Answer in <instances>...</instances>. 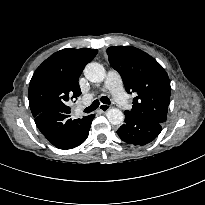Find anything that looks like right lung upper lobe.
Listing matches in <instances>:
<instances>
[{
	"mask_svg": "<svg viewBox=\"0 0 205 205\" xmlns=\"http://www.w3.org/2000/svg\"><path fill=\"white\" fill-rule=\"evenodd\" d=\"M97 50L62 49L47 58L33 74L29 85V105L34 117L44 111L69 114L68 101L81 94L78 79Z\"/></svg>",
	"mask_w": 205,
	"mask_h": 205,
	"instance_id": "obj_1",
	"label": "right lung upper lobe"
}]
</instances>
